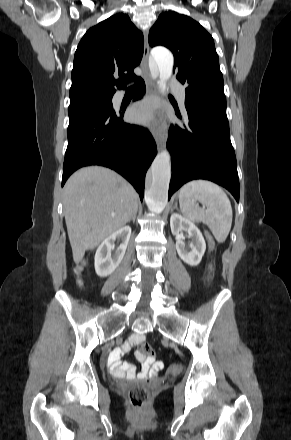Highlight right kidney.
<instances>
[{"label":"right kidney","mask_w":291,"mask_h":440,"mask_svg":"<svg viewBox=\"0 0 291 440\" xmlns=\"http://www.w3.org/2000/svg\"><path fill=\"white\" fill-rule=\"evenodd\" d=\"M131 236V227L124 226L108 236L97 248L95 254V271L100 277L110 275L122 261ZM122 243L112 254L115 248V241Z\"/></svg>","instance_id":"obj_1"}]
</instances>
